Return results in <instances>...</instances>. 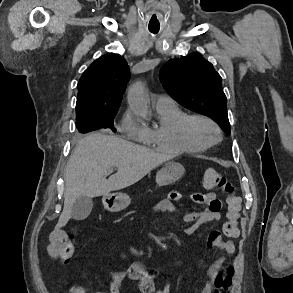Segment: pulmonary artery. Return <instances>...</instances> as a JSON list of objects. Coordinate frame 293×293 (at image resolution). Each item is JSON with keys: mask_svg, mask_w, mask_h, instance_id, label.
I'll list each match as a JSON object with an SVG mask.
<instances>
[{"mask_svg": "<svg viewBox=\"0 0 293 293\" xmlns=\"http://www.w3.org/2000/svg\"><path fill=\"white\" fill-rule=\"evenodd\" d=\"M173 103H175L174 100L167 95H158L155 101L156 107L167 106Z\"/></svg>", "mask_w": 293, "mask_h": 293, "instance_id": "pulmonary-artery-1", "label": "pulmonary artery"}]
</instances>
